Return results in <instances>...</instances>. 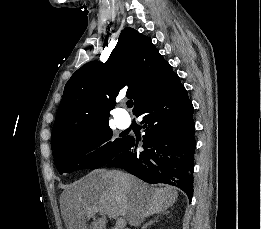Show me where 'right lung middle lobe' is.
<instances>
[{
  "label": "right lung middle lobe",
  "mask_w": 261,
  "mask_h": 229,
  "mask_svg": "<svg viewBox=\"0 0 261 229\" xmlns=\"http://www.w3.org/2000/svg\"><path fill=\"white\" fill-rule=\"evenodd\" d=\"M67 138L54 150L60 174L79 169H97L116 157L129 138L111 140L109 123L75 126L66 129Z\"/></svg>",
  "instance_id": "right-lung-middle-lobe-1"
}]
</instances>
